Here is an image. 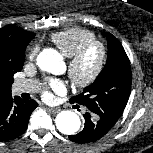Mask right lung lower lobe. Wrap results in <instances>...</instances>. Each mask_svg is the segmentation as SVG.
Here are the masks:
<instances>
[{
  "label": "right lung lower lobe",
  "instance_id": "1",
  "mask_svg": "<svg viewBox=\"0 0 153 153\" xmlns=\"http://www.w3.org/2000/svg\"><path fill=\"white\" fill-rule=\"evenodd\" d=\"M38 106L34 100L25 101L9 95L0 99V141L20 136L27 128L33 110Z\"/></svg>",
  "mask_w": 153,
  "mask_h": 153
}]
</instances>
